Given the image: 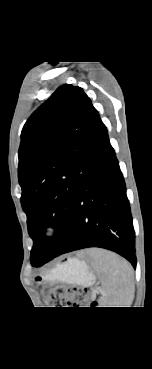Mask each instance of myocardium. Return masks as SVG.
<instances>
[{
    "label": "myocardium",
    "instance_id": "myocardium-1",
    "mask_svg": "<svg viewBox=\"0 0 152 369\" xmlns=\"http://www.w3.org/2000/svg\"><path fill=\"white\" fill-rule=\"evenodd\" d=\"M56 229L53 225H48L44 228L42 232V240L45 242L50 241L55 235Z\"/></svg>",
    "mask_w": 152,
    "mask_h": 369
}]
</instances>
